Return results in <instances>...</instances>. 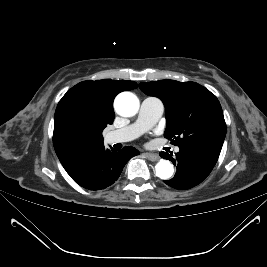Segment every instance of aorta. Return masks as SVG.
Returning <instances> with one entry per match:
<instances>
[{"mask_svg": "<svg viewBox=\"0 0 267 267\" xmlns=\"http://www.w3.org/2000/svg\"><path fill=\"white\" fill-rule=\"evenodd\" d=\"M115 109L123 117L134 116L139 110V99L131 92H122L115 99ZM156 175L161 179H169L174 168L170 161L160 160L155 166Z\"/></svg>", "mask_w": 267, "mask_h": 267, "instance_id": "1", "label": "aorta"}]
</instances>
